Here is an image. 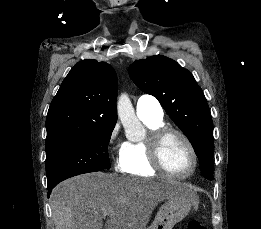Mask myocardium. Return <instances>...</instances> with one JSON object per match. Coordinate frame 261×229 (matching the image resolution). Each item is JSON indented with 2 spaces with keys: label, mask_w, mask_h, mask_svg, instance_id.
Returning a JSON list of instances; mask_svg holds the SVG:
<instances>
[{
  "label": "myocardium",
  "mask_w": 261,
  "mask_h": 229,
  "mask_svg": "<svg viewBox=\"0 0 261 229\" xmlns=\"http://www.w3.org/2000/svg\"><path fill=\"white\" fill-rule=\"evenodd\" d=\"M173 136H177L184 141L192 156V167L184 174L173 172L164 161L163 150L165 143ZM150 157L157 170L171 178L176 179L188 178L195 172L198 165L197 153L191 140L182 131L171 127H163L153 134L150 146Z\"/></svg>",
  "instance_id": "1"
}]
</instances>
